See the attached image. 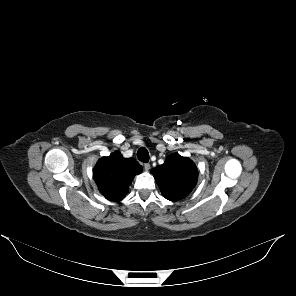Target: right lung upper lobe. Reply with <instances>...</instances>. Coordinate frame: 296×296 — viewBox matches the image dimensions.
Listing matches in <instances>:
<instances>
[{
	"label": "right lung upper lobe",
	"mask_w": 296,
	"mask_h": 296,
	"mask_svg": "<svg viewBox=\"0 0 296 296\" xmlns=\"http://www.w3.org/2000/svg\"><path fill=\"white\" fill-rule=\"evenodd\" d=\"M141 172L142 166L134 158L125 159L118 151L100 158L93 169L99 191L110 201L123 199L134 176Z\"/></svg>",
	"instance_id": "1"
}]
</instances>
